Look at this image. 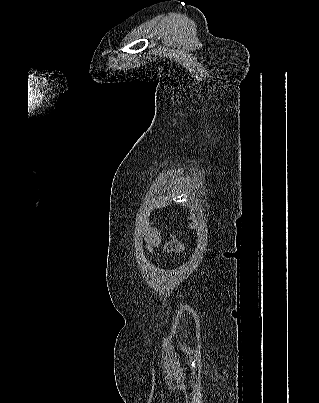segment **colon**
<instances>
[{"label":"colon","mask_w":319,"mask_h":403,"mask_svg":"<svg viewBox=\"0 0 319 403\" xmlns=\"http://www.w3.org/2000/svg\"><path fill=\"white\" fill-rule=\"evenodd\" d=\"M150 242H151V243H154V242H155V238L152 237V238L150 239ZM168 248H169L170 250L178 251V250H180L181 246H180V243H179V242H177V241H172V242H170V243L168 244Z\"/></svg>","instance_id":"5ec220e1"}]
</instances>
